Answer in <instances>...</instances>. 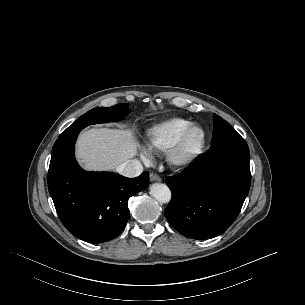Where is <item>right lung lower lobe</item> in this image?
<instances>
[{
    "instance_id": "right-lung-lower-lobe-1",
    "label": "right lung lower lobe",
    "mask_w": 305,
    "mask_h": 305,
    "mask_svg": "<svg viewBox=\"0 0 305 305\" xmlns=\"http://www.w3.org/2000/svg\"><path fill=\"white\" fill-rule=\"evenodd\" d=\"M79 131L59 136L48 171V189L64 226L89 243L117 237L130 216L128 199L148 187L149 173L126 178L110 172H87L74 157Z\"/></svg>"
}]
</instances>
